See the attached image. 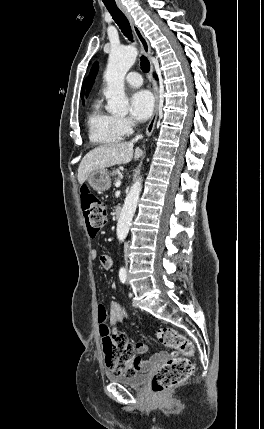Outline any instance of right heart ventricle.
<instances>
[{"mask_svg": "<svg viewBox=\"0 0 264 429\" xmlns=\"http://www.w3.org/2000/svg\"><path fill=\"white\" fill-rule=\"evenodd\" d=\"M87 123L89 138L94 144H114L124 136L118 125V117L106 111L100 101L93 104Z\"/></svg>", "mask_w": 264, "mask_h": 429, "instance_id": "obj_1", "label": "right heart ventricle"}]
</instances>
